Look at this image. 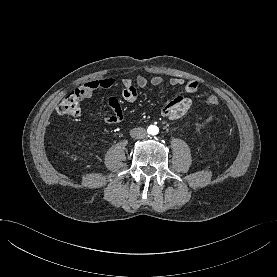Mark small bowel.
Masks as SVG:
<instances>
[{
    "instance_id": "1",
    "label": "small bowel",
    "mask_w": 277,
    "mask_h": 277,
    "mask_svg": "<svg viewBox=\"0 0 277 277\" xmlns=\"http://www.w3.org/2000/svg\"><path fill=\"white\" fill-rule=\"evenodd\" d=\"M163 83V79L158 76H152L147 78L145 76L139 75L135 80L125 78L122 80V97L127 102H134L137 99L138 88H146L149 85L160 86ZM172 86L183 87L185 92L188 94H194L198 90V84L194 80H184L181 78H171L169 81ZM115 85V79L111 77H105L102 79H97L84 84L80 89H78L83 98L92 97L94 91L97 89H109ZM108 105L112 110V114L108 116H95L90 114V118L93 120H99L106 124H117L123 119V112L120 102L115 97H110L108 99ZM192 105V100L185 95H178L169 101L160 111V115L166 120H177L184 116Z\"/></svg>"
}]
</instances>
